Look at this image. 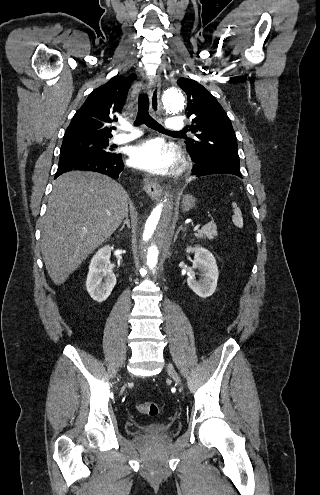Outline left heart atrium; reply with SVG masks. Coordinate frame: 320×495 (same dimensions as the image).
Masks as SVG:
<instances>
[{"instance_id":"left-heart-atrium-1","label":"left heart atrium","mask_w":320,"mask_h":495,"mask_svg":"<svg viewBox=\"0 0 320 495\" xmlns=\"http://www.w3.org/2000/svg\"><path fill=\"white\" fill-rule=\"evenodd\" d=\"M176 162V155L168 151L158 140L142 142L132 147L130 151V163L151 173H166L175 166Z\"/></svg>"}]
</instances>
